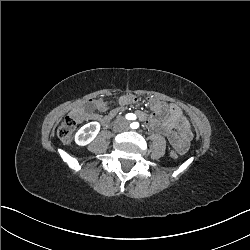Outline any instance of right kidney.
I'll list each match as a JSON object with an SVG mask.
<instances>
[{
	"instance_id": "right-kidney-1",
	"label": "right kidney",
	"mask_w": 250,
	"mask_h": 250,
	"mask_svg": "<svg viewBox=\"0 0 250 250\" xmlns=\"http://www.w3.org/2000/svg\"><path fill=\"white\" fill-rule=\"evenodd\" d=\"M100 131L98 122H90L82 126L75 135V142L80 146H85L95 139Z\"/></svg>"
}]
</instances>
